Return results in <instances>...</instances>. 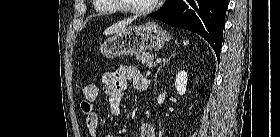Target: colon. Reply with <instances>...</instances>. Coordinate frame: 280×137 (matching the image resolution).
Wrapping results in <instances>:
<instances>
[{
    "label": "colon",
    "mask_w": 280,
    "mask_h": 137,
    "mask_svg": "<svg viewBox=\"0 0 280 137\" xmlns=\"http://www.w3.org/2000/svg\"><path fill=\"white\" fill-rule=\"evenodd\" d=\"M82 93L87 99H94L98 93V87L95 82L86 83L82 88Z\"/></svg>",
    "instance_id": "colon-1"
}]
</instances>
